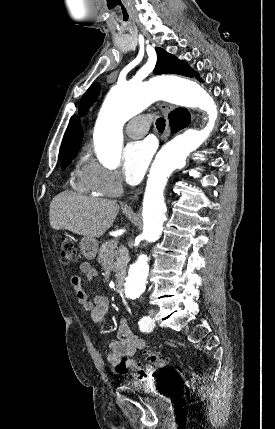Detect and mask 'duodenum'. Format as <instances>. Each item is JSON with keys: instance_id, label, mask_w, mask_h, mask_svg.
I'll return each instance as SVG.
<instances>
[{"instance_id": "1", "label": "duodenum", "mask_w": 275, "mask_h": 429, "mask_svg": "<svg viewBox=\"0 0 275 429\" xmlns=\"http://www.w3.org/2000/svg\"><path fill=\"white\" fill-rule=\"evenodd\" d=\"M123 277L122 276H118L116 279H115V281H114V287H115V290L117 291V292H119V291H121V289H122V286H123Z\"/></svg>"}]
</instances>
